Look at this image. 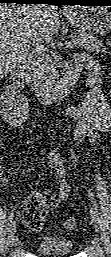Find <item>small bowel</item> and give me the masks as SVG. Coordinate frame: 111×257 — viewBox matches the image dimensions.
Masks as SVG:
<instances>
[{
    "instance_id": "1",
    "label": "small bowel",
    "mask_w": 111,
    "mask_h": 257,
    "mask_svg": "<svg viewBox=\"0 0 111 257\" xmlns=\"http://www.w3.org/2000/svg\"><path fill=\"white\" fill-rule=\"evenodd\" d=\"M86 116H87V118H85V119L87 120V122H93L91 119H95V118L88 117V115H86ZM99 120H101V119H99ZM95 121H98V120H95ZM83 125L86 126L85 124H83ZM87 127H89V126H87ZM49 166L58 174V176L60 178V186H59L58 195L52 194V195L49 196L50 197L49 200H47L44 197V199L41 200V201L37 200V201H34L32 204H29V203L27 204V210H26V214H25L26 215V222L33 229L39 228L40 223H41V221L43 219V216H44L43 212H37L36 211L37 206L43 207L44 209H48V208L58 204L60 199H63L66 196H68V185H67V182L65 180V170L63 168V165L57 159H53V160H51Z\"/></svg>"
}]
</instances>
